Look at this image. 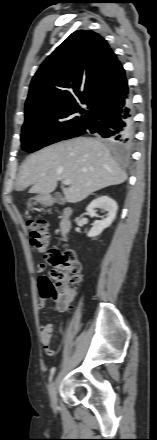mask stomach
<instances>
[{
	"label": "stomach",
	"instance_id": "stomach-1",
	"mask_svg": "<svg viewBox=\"0 0 157 440\" xmlns=\"http://www.w3.org/2000/svg\"><path fill=\"white\" fill-rule=\"evenodd\" d=\"M37 201H39V202H44V197H43V196L38 197V198H37Z\"/></svg>",
	"mask_w": 157,
	"mask_h": 440
}]
</instances>
